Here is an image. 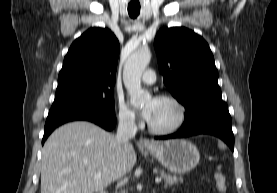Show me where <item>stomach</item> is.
<instances>
[{"mask_svg":"<svg viewBox=\"0 0 277 193\" xmlns=\"http://www.w3.org/2000/svg\"><path fill=\"white\" fill-rule=\"evenodd\" d=\"M147 150L169 171L184 174L192 170L200 159L197 147L184 139L155 142Z\"/></svg>","mask_w":277,"mask_h":193,"instance_id":"1","label":"stomach"}]
</instances>
